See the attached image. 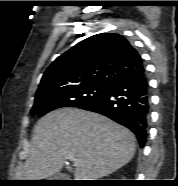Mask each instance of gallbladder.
<instances>
[{
	"label": "gallbladder",
	"instance_id": "1",
	"mask_svg": "<svg viewBox=\"0 0 178 186\" xmlns=\"http://www.w3.org/2000/svg\"><path fill=\"white\" fill-rule=\"evenodd\" d=\"M65 176H66V175L63 174V173H56V174H54L51 178H52L53 180H58V179H61V178L65 177Z\"/></svg>",
	"mask_w": 178,
	"mask_h": 186
}]
</instances>
